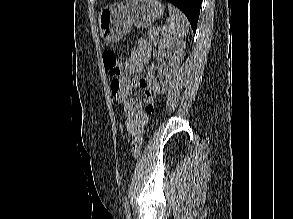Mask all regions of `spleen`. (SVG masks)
I'll return each instance as SVG.
<instances>
[{
	"mask_svg": "<svg viewBox=\"0 0 293 219\" xmlns=\"http://www.w3.org/2000/svg\"><path fill=\"white\" fill-rule=\"evenodd\" d=\"M170 17L166 25L161 28L163 37L178 40L189 32V23L185 15L168 3Z\"/></svg>",
	"mask_w": 293,
	"mask_h": 219,
	"instance_id": "3e777b00",
	"label": "spleen"
}]
</instances>
